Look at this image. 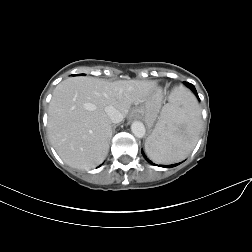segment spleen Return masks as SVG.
Wrapping results in <instances>:
<instances>
[{
  "label": "spleen",
  "instance_id": "3e777b00",
  "mask_svg": "<svg viewBox=\"0 0 252 252\" xmlns=\"http://www.w3.org/2000/svg\"><path fill=\"white\" fill-rule=\"evenodd\" d=\"M201 128L196 99L182 87L175 88L162 110L152 134L145 142L148 156L157 163L184 160L195 147Z\"/></svg>",
  "mask_w": 252,
  "mask_h": 252
}]
</instances>
